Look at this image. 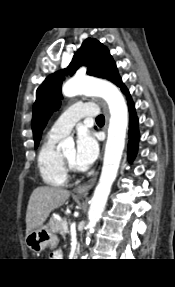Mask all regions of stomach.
Listing matches in <instances>:
<instances>
[{
    "mask_svg": "<svg viewBox=\"0 0 175 287\" xmlns=\"http://www.w3.org/2000/svg\"><path fill=\"white\" fill-rule=\"evenodd\" d=\"M25 243L32 252L40 253L46 247L55 248L58 238L48 226L42 225L26 234Z\"/></svg>",
    "mask_w": 175,
    "mask_h": 287,
    "instance_id": "stomach-1",
    "label": "stomach"
}]
</instances>
